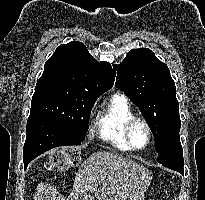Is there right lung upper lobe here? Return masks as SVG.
Wrapping results in <instances>:
<instances>
[{"label": "right lung upper lobe", "mask_w": 205, "mask_h": 200, "mask_svg": "<svg viewBox=\"0 0 205 200\" xmlns=\"http://www.w3.org/2000/svg\"><path fill=\"white\" fill-rule=\"evenodd\" d=\"M38 81H60L99 97L114 84V72L107 62H97L85 45L72 41L60 45L46 61Z\"/></svg>", "instance_id": "1"}]
</instances>
